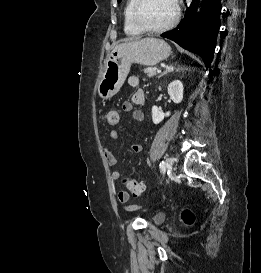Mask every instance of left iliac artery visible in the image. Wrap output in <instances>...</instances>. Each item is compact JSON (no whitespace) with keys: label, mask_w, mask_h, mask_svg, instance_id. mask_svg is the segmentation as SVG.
<instances>
[{"label":"left iliac artery","mask_w":261,"mask_h":273,"mask_svg":"<svg viewBox=\"0 0 261 273\" xmlns=\"http://www.w3.org/2000/svg\"><path fill=\"white\" fill-rule=\"evenodd\" d=\"M159 166H160L161 171H162V172H165V169H166V164H165V162L162 161V162L160 163Z\"/></svg>","instance_id":"1"}]
</instances>
